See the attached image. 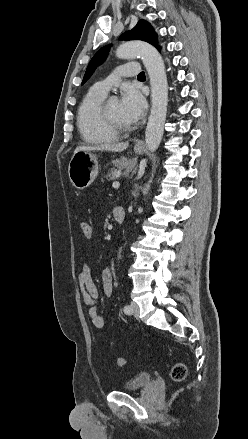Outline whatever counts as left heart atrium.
Returning a JSON list of instances; mask_svg holds the SVG:
<instances>
[{"label":"left heart atrium","mask_w":248,"mask_h":439,"mask_svg":"<svg viewBox=\"0 0 248 439\" xmlns=\"http://www.w3.org/2000/svg\"><path fill=\"white\" fill-rule=\"evenodd\" d=\"M120 103L125 117L130 122L138 121L146 109L145 98L137 88L132 86L124 90Z\"/></svg>","instance_id":"left-heart-atrium-1"}]
</instances>
